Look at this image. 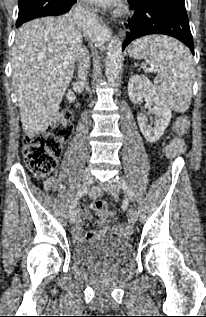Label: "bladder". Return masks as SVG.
Returning a JSON list of instances; mask_svg holds the SVG:
<instances>
[{"instance_id":"31cf9c89","label":"bladder","mask_w":206,"mask_h":317,"mask_svg":"<svg viewBox=\"0 0 206 317\" xmlns=\"http://www.w3.org/2000/svg\"><path fill=\"white\" fill-rule=\"evenodd\" d=\"M131 243L119 237H99L75 246L73 258L85 265L114 266L130 258Z\"/></svg>"}]
</instances>
